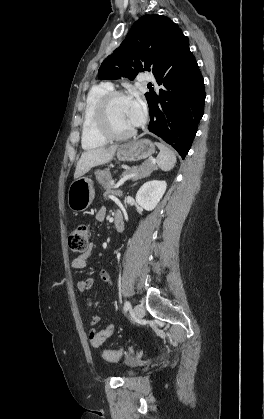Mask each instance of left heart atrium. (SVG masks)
<instances>
[{"mask_svg":"<svg viewBox=\"0 0 264 419\" xmlns=\"http://www.w3.org/2000/svg\"><path fill=\"white\" fill-rule=\"evenodd\" d=\"M129 117L133 126L141 125L146 116V108L143 99L139 95L128 98Z\"/></svg>","mask_w":264,"mask_h":419,"instance_id":"1","label":"left heart atrium"}]
</instances>
